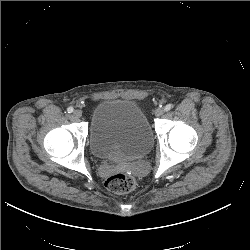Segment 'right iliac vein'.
I'll return each mask as SVG.
<instances>
[{
  "label": "right iliac vein",
  "mask_w": 250,
  "mask_h": 250,
  "mask_svg": "<svg viewBox=\"0 0 250 250\" xmlns=\"http://www.w3.org/2000/svg\"><path fill=\"white\" fill-rule=\"evenodd\" d=\"M81 116H82L81 110H75V111L73 112V117H74V118L79 119Z\"/></svg>",
  "instance_id": "obj_1"
}]
</instances>
